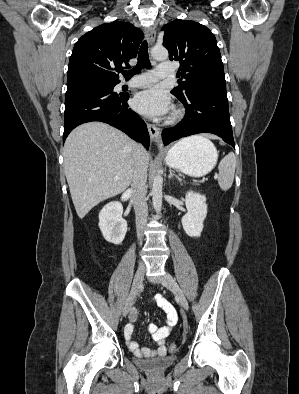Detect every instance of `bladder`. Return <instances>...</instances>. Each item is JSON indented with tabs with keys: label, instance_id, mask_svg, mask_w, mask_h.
Returning <instances> with one entry per match:
<instances>
[{
	"label": "bladder",
	"instance_id": "bladder-1",
	"mask_svg": "<svg viewBox=\"0 0 299 394\" xmlns=\"http://www.w3.org/2000/svg\"><path fill=\"white\" fill-rule=\"evenodd\" d=\"M175 360V355H166L151 359H136L135 362L139 367L148 372L159 373L172 366Z\"/></svg>",
	"mask_w": 299,
	"mask_h": 394
}]
</instances>
